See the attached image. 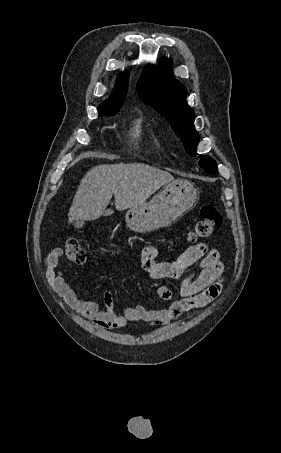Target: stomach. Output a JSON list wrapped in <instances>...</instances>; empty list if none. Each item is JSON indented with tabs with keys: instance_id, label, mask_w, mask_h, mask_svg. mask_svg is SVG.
Here are the masks:
<instances>
[{
	"instance_id": "stomach-1",
	"label": "stomach",
	"mask_w": 281,
	"mask_h": 453,
	"mask_svg": "<svg viewBox=\"0 0 281 453\" xmlns=\"http://www.w3.org/2000/svg\"><path fill=\"white\" fill-rule=\"evenodd\" d=\"M199 198L198 188L189 180H172L150 202H140L125 214L127 227L135 233H151L170 227Z\"/></svg>"
}]
</instances>
